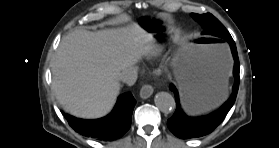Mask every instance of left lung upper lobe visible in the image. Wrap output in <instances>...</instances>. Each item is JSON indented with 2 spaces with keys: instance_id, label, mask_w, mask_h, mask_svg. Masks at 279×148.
Returning <instances> with one entry per match:
<instances>
[{
  "instance_id": "5c2ea615",
  "label": "left lung upper lobe",
  "mask_w": 279,
  "mask_h": 148,
  "mask_svg": "<svg viewBox=\"0 0 279 148\" xmlns=\"http://www.w3.org/2000/svg\"><path fill=\"white\" fill-rule=\"evenodd\" d=\"M191 16L201 24L203 28L202 34L222 39L231 36L227 29L221 24V22L212 14L207 13L199 15L192 13Z\"/></svg>"
}]
</instances>
